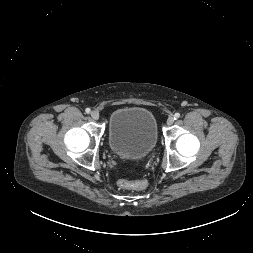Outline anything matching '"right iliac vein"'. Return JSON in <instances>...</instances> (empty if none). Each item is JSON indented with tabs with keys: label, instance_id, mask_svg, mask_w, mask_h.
I'll return each mask as SVG.
<instances>
[{
	"label": "right iliac vein",
	"instance_id": "1",
	"mask_svg": "<svg viewBox=\"0 0 253 253\" xmlns=\"http://www.w3.org/2000/svg\"><path fill=\"white\" fill-rule=\"evenodd\" d=\"M91 117L94 119V120H98L99 119V113L97 111H92L91 112Z\"/></svg>",
	"mask_w": 253,
	"mask_h": 253
}]
</instances>
